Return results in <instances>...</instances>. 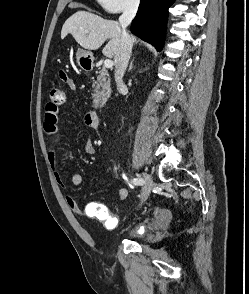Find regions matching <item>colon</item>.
<instances>
[{"label":"colon","mask_w":249,"mask_h":294,"mask_svg":"<svg viewBox=\"0 0 249 294\" xmlns=\"http://www.w3.org/2000/svg\"><path fill=\"white\" fill-rule=\"evenodd\" d=\"M60 72H64V71H60ZM64 100H65V94L61 88L54 87L50 90L48 104L52 106H58L62 104Z\"/></svg>","instance_id":"5ec220e1"}]
</instances>
